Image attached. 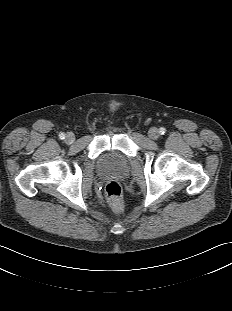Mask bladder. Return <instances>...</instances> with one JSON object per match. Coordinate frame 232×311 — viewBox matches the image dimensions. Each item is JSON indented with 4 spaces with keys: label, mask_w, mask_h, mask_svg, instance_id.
I'll return each instance as SVG.
<instances>
[{
    "label": "bladder",
    "mask_w": 232,
    "mask_h": 311,
    "mask_svg": "<svg viewBox=\"0 0 232 311\" xmlns=\"http://www.w3.org/2000/svg\"><path fill=\"white\" fill-rule=\"evenodd\" d=\"M99 168L105 174L120 176L126 172L128 162L120 155L109 154L101 159L99 162Z\"/></svg>",
    "instance_id": "obj_1"
}]
</instances>
